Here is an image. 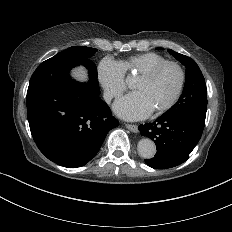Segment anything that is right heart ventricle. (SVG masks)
I'll list each match as a JSON object with an SVG mask.
<instances>
[{
  "mask_svg": "<svg viewBox=\"0 0 232 232\" xmlns=\"http://www.w3.org/2000/svg\"><path fill=\"white\" fill-rule=\"evenodd\" d=\"M167 61V58L154 51H145L134 54L119 62L123 76L137 73L138 76L147 72L157 64Z\"/></svg>",
  "mask_w": 232,
  "mask_h": 232,
  "instance_id": "obj_1",
  "label": "right heart ventricle"
}]
</instances>
